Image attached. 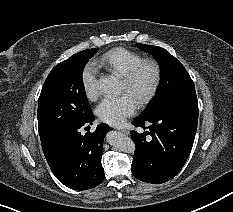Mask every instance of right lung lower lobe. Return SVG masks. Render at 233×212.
<instances>
[{"instance_id":"98d812e1","label":"right lung lower lobe","mask_w":233,"mask_h":212,"mask_svg":"<svg viewBox=\"0 0 233 212\" xmlns=\"http://www.w3.org/2000/svg\"><path fill=\"white\" fill-rule=\"evenodd\" d=\"M93 120L91 113L86 119L41 140L44 155L54 175L65 186L75 190L94 188L104 179L101 164L103 139L112 128L103 123L93 133L82 135L81 128L89 127Z\"/></svg>"}]
</instances>
